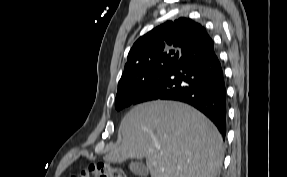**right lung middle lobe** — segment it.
Listing matches in <instances>:
<instances>
[{
	"label": "right lung middle lobe",
	"mask_w": 287,
	"mask_h": 177,
	"mask_svg": "<svg viewBox=\"0 0 287 177\" xmlns=\"http://www.w3.org/2000/svg\"><path fill=\"white\" fill-rule=\"evenodd\" d=\"M179 58L170 56L161 59L142 71L135 79L118 85L115 108L119 111L130 106L143 91L176 66Z\"/></svg>",
	"instance_id": "right-lung-middle-lobe-1"
}]
</instances>
